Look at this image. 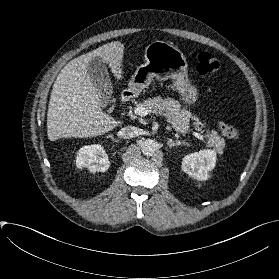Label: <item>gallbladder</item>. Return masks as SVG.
Instances as JSON below:
<instances>
[{
	"label": "gallbladder",
	"instance_id": "bac80fb5",
	"mask_svg": "<svg viewBox=\"0 0 279 279\" xmlns=\"http://www.w3.org/2000/svg\"><path fill=\"white\" fill-rule=\"evenodd\" d=\"M89 76L97 89L104 107L107 106L112 97L113 86L108 70L101 57L92 58L88 66Z\"/></svg>",
	"mask_w": 279,
	"mask_h": 279
}]
</instances>
